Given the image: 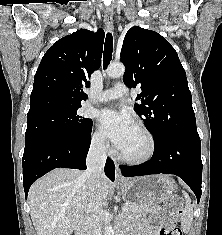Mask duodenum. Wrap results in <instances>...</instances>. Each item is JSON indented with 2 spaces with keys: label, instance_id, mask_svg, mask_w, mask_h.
<instances>
[{
  "label": "duodenum",
  "instance_id": "1",
  "mask_svg": "<svg viewBox=\"0 0 222 235\" xmlns=\"http://www.w3.org/2000/svg\"><path fill=\"white\" fill-rule=\"evenodd\" d=\"M75 235H87L84 224H80L76 227ZM117 235H124V233H119Z\"/></svg>",
  "mask_w": 222,
  "mask_h": 235
}]
</instances>
